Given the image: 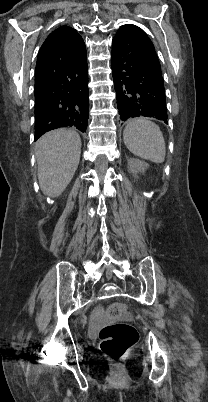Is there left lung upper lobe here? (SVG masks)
I'll return each mask as SVG.
<instances>
[{"label":"left lung upper lobe","instance_id":"1","mask_svg":"<svg viewBox=\"0 0 208 402\" xmlns=\"http://www.w3.org/2000/svg\"><path fill=\"white\" fill-rule=\"evenodd\" d=\"M147 48H148V57L147 58H148L150 66L153 69H155L158 73L162 74L161 66H160L158 57L156 55L154 45L150 39L148 41Z\"/></svg>","mask_w":208,"mask_h":402}]
</instances>
